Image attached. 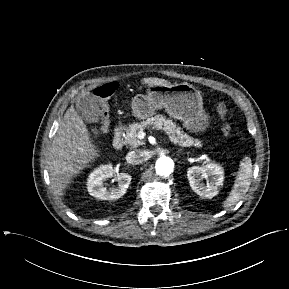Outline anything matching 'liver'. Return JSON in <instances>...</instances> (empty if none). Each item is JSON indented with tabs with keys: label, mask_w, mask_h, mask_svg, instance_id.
<instances>
[{
	"label": "liver",
	"mask_w": 289,
	"mask_h": 289,
	"mask_svg": "<svg viewBox=\"0 0 289 289\" xmlns=\"http://www.w3.org/2000/svg\"><path fill=\"white\" fill-rule=\"evenodd\" d=\"M142 82L148 86L171 85L160 78H144ZM97 157L99 150L92 143L83 117L71 106L64 114L50 147L48 170L54 193L62 196L72 178Z\"/></svg>",
	"instance_id": "1"
}]
</instances>
